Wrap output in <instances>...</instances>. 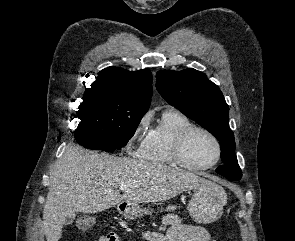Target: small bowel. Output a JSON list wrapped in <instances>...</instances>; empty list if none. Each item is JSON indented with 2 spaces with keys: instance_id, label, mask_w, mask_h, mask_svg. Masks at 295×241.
Masks as SVG:
<instances>
[{
  "instance_id": "c3829d8e",
  "label": "small bowel",
  "mask_w": 295,
  "mask_h": 241,
  "mask_svg": "<svg viewBox=\"0 0 295 241\" xmlns=\"http://www.w3.org/2000/svg\"><path fill=\"white\" fill-rule=\"evenodd\" d=\"M164 223L168 226L165 234L145 231L142 233L143 238L148 241H210L205 228L184 224L175 214L166 215ZM100 241H119V238L116 234L110 233L102 236Z\"/></svg>"
}]
</instances>
